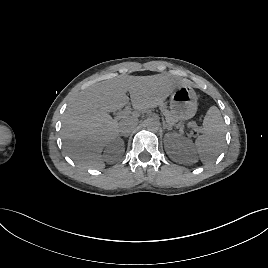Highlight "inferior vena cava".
I'll return each mask as SVG.
<instances>
[{
	"label": "inferior vena cava",
	"instance_id": "1",
	"mask_svg": "<svg viewBox=\"0 0 268 268\" xmlns=\"http://www.w3.org/2000/svg\"><path fill=\"white\" fill-rule=\"evenodd\" d=\"M138 124L137 119H126L120 123L119 131L122 135H129L132 131L135 130V127Z\"/></svg>",
	"mask_w": 268,
	"mask_h": 268
}]
</instances>
